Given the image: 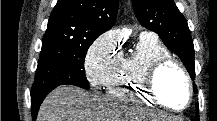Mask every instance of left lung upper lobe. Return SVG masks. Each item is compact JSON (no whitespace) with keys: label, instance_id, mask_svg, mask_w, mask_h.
<instances>
[{"label":"left lung upper lobe","instance_id":"5c2ea615","mask_svg":"<svg viewBox=\"0 0 217 121\" xmlns=\"http://www.w3.org/2000/svg\"><path fill=\"white\" fill-rule=\"evenodd\" d=\"M140 24L156 32L165 45L179 56L192 79L195 78L194 46L185 17L173 0H133ZM197 92L196 85L193 86ZM196 118L199 119L198 104Z\"/></svg>","mask_w":217,"mask_h":121}]
</instances>
